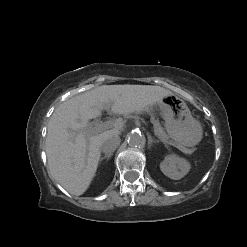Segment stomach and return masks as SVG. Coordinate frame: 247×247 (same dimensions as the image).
I'll use <instances>...</instances> for the list:
<instances>
[{
    "instance_id": "0dacf381",
    "label": "stomach",
    "mask_w": 247,
    "mask_h": 247,
    "mask_svg": "<svg viewBox=\"0 0 247 247\" xmlns=\"http://www.w3.org/2000/svg\"><path fill=\"white\" fill-rule=\"evenodd\" d=\"M159 109L165 120L169 136L184 147H194L203 136L200 122L196 120L186 103L171 94L165 96L159 103Z\"/></svg>"
}]
</instances>
